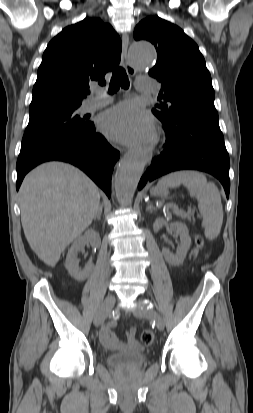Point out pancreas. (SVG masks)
<instances>
[{
	"mask_svg": "<svg viewBox=\"0 0 253 413\" xmlns=\"http://www.w3.org/2000/svg\"><path fill=\"white\" fill-rule=\"evenodd\" d=\"M174 213L179 214V213L175 212V210H174ZM179 215L182 216V217H187V215H182V214H179Z\"/></svg>",
	"mask_w": 253,
	"mask_h": 413,
	"instance_id": "cf45deb5",
	"label": "pancreas"
}]
</instances>
